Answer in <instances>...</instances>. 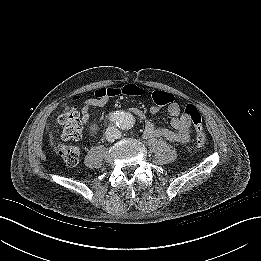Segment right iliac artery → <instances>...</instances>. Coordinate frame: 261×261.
Wrapping results in <instances>:
<instances>
[{
  "mask_svg": "<svg viewBox=\"0 0 261 261\" xmlns=\"http://www.w3.org/2000/svg\"><path fill=\"white\" fill-rule=\"evenodd\" d=\"M109 120H110V122L119 125L120 113L119 112H113L112 114H110Z\"/></svg>",
  "mask_w": 261,
  "mask_h": 261,
  "instance_id": "right-iliac-artery-1",
  "label": "right iliac artery"
}]
</instances>
